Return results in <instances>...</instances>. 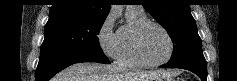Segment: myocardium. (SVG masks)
<instances>
[{
	"mask_svg": "<svg viewBox=\"0 0 237 81\" xmlns=\"http://www.w3.org/2000/svg\"><path fill=\"white\" fill-rule=\"evenodd\" d=\"M156 27L158 29H160L163 34L166 36L168 42H169V53L167 55V57L164 60L158 61V62H150L147 61L143 54H142V49H141V40L143 37L144 32L149 28V27ZM132 50H133V54L135 56V58L137 59V61L145 67H159L162 66L166 63H168L171 58L173 57L174 54V50H175V45H174V41L172 36L170 35V33L167 31V29L165 27H163L161 24H159L158 22L155 21H146L140 25H138L132 33Z\"/></svg>",
	"mask_w": 237,
	"mask_h": 81,
	"instance_id": "1",
	"label": "myocardium"
}]
</instances>
